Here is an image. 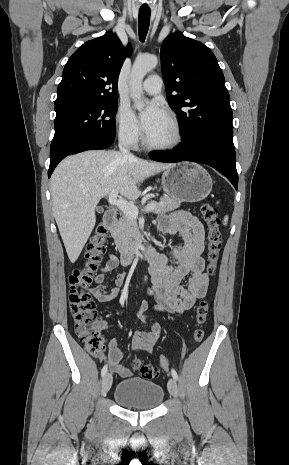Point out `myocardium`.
I'll return each instance as SVG.
<instances>
[{
	"label": "myocardium",
	"instance_id": "obj_1",
	"mask_svg": "<svg viewBox=\"0 0 289 465\" xmlns=\"http://www.w3.org/2000/svg\"><path fill=\"white\" fill-rule=\"evenodd\" d=\"M165 116L172 128V138L165 143H153L149 141L146 136H144L143 144L146 148L150 150L166 151L176 148L182 142L183 135L178 119L170 111H165Z\"/></svg>",
	"mask_w": 289,
	"mask_h": 465
}]
</instances>
